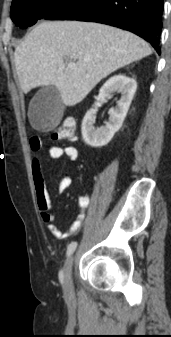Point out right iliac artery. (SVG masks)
Returning a JSON list of instances; mask_svg holds the SVG:
<instances>
[{
  "label": "right iliac artery",
  "instance_id": "82829eb1",
  "mask_svg": "<svg viewBox=\"0 0 171 337\" xmlns=\"http://www.w3.org/2000/svg\"><path fill=\"white\" fill-rule=\"evenodd\" d=\"M76 247H77V242L70 243L67 248V256H70L75 251ZM60 280L61 282L63 281L62 273L60 274Z\"/></svg>",
  "mask_w": 171,
  "mask_h": 337
}]
</instances>
